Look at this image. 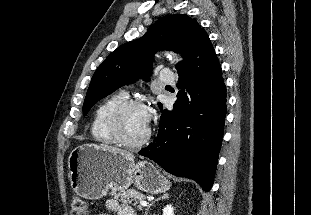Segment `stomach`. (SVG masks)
Returning <instances> with one entry per match:
<instances>
[{
	"mask_svg": "<svg viewBox=\"0 0 311 215\" xmlns=\"http://www.w3.org/2000/svg\"><path fill=\"white\" fill-rule=\"evenodd\" d=\"M69 179L79 196L96 200L111 192L127 189L134 184L139 190L158 194L169 190L168 180L148 161L134 160L120 153L110 152L95 144H83L70 152Z\"/></svg>",
	"mask_w": 311,
	"mask_h": 215,
	"instance_id": "0dacf381",
	"label": "stomach"
}]
</instances>
